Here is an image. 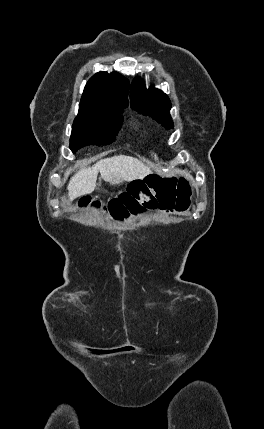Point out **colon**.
Returning a JSON list of instances; mask_svg holds the SVG:
<instances>
[{
    "label": "colon",
    "instance_id": "1",
    "mask_svg": "<svg viewBox=\"0 0 264 429\" xmlns=\"http://www.w3.org/2000/svg\"><path fill=\"white\" fill-rule=\"evenodd\" d=\"M191 186L185 181L171 179L151 182L135 181L129 188L111 199L104 210L111 216L123 220L147 209L184 211L190 205ZM90 201L82 199L80 207H87ZM92 205L100 207L99 203Z\"/></svg>",
    "mask_w": 264,
    "mask_h": 429
}]
</instances>
